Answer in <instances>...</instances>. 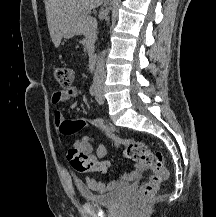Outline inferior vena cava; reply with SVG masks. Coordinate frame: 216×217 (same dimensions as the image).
Returning a JSON list of instances; mask_svg holds the SVG:
<instances>
[{"label": "inferior vena cava", "instance_id": "inferior-vena-cava-1", "mask_svg": "<svg viewBox=\"0 0 216 217\" xmlns=\"http://www.w3.org/2000/svg\"><path fill=\"white\" fill-rule=\"evenodd\" d=\"M103 56L101 54V57H99L97 64H96V69H95L94 77H93V81L95 84H103L106 78Z\"/></svg>", "mask_w": 216, "mask_h": 217}]
</instances>
